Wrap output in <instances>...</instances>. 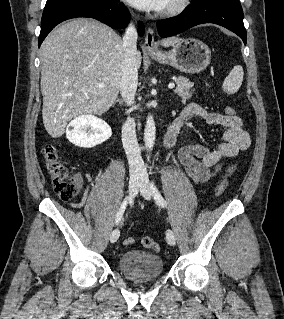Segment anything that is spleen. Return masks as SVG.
<instances>
[{
    "mask_svg": "<svg viewBox=\"0 0 284 319\" xmlns=\"http://www.w3.org/2000/svg\"><path fill=\"white\" fill-rule=\"evenodd\" d=\"M243 75L242 66L236 65L225 78L222 85L223 90L229 94L236 93L242 85Z\"/></svg>",
    "mask_w": 284,
    "mask_h": 319,
    "instance_id": "spleen-1",
    "label": "spleen"
}]
</instances>
